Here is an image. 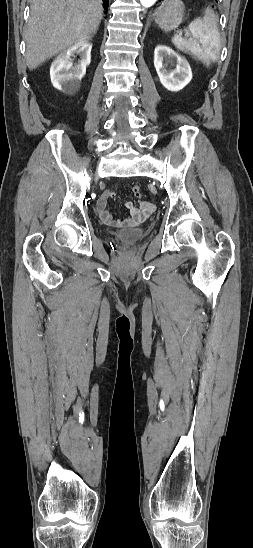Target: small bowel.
Masks as SVG:
<instances>
[{
    "label": "small bowel",
    "mask_w": 253,
    "mask_h": 548,
    "mask_svg": "<svg viewBox=\"0 0 253 548\" xmlns=\"http://www.w3.org/2000/svg\"><path fill=\"white\" fill-rule=\"evenodd\" d=\"M115 196V192L106 190L101 194L96 203V209L101 221L113 227L136 226L146 221L153 213L155 205L149 201H140L138 203L127 201L125 206L130 213L126 219H114L109 208L108 200Z\"/></svg>",
    "instance_id": "c3829d8e"
}]
</instances>
